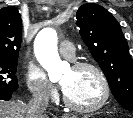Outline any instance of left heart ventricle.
Segmentation results:
<instances>
[{"label": "left heart ventricle", "instance_id": "obj_1", "mask_svg": "<svg viewBox=\"0 0 133 118\" xmlns=\"http://www.w3.org/2000/svg\"><path fill=\"white\" fill-rule=\"evenodd\" d=\"M68 99L78 106H90L102 96V86L97 74L90 69L67 70L60 79Z\"/></svg>", "mask_w": 133, "mask_h": 118}]
</instances>
